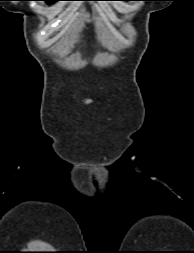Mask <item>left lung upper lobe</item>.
<instances>
[{"label": "left lung upper lobe", "instance_id": "obj_1", "mask_svg": "<svg viewBox=\"0 0 194 253\" xmlns=\"http://www.w3.org/2000/svg\"><path fill=\"white\" fill-rule=\"evenodd\" d=\"M121 1H138V0H121Z\"/></svg>", "mask_w": 194, "mask_h": 253}]
</instances>
